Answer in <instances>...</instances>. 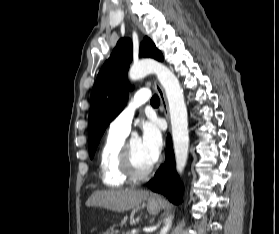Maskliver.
Listing matches in <instances>:
<instances>
[{
	"label": "liver",
	"instance_id": "liver-1",
	"mask_svg": "<svg viewBox=\"0 0 279 234\" xmlns=\"http://www.w3.org/2000/svg\"><path fill=\"white\" fill-rule=\"evenodd\" d=\"M148 196L149 192L145 190L95 191L86 201V206H97L115 212H125L141 204Z\"/></svg>",
	"mask_w": 279,
	"mask_h": 234
}]
</instances>
